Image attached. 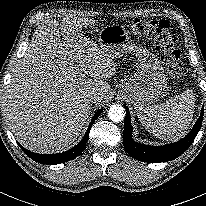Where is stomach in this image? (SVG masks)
<instances>
[{
  "label": "stomach",
  "mask_w": 206,
  "mask_h": 206,
  "mask_svg": "<svg viewBox=\"0 0 206 206\" xmlns=\"http://www.w3.org/2000/svg\"><path fill=\"white\" fill-rule=\"evenodd\" d=\"M98 41L114 58L126 52H132L137 58L136 73L121 87L120 95L134 106L137 113L155 103L167 85L159 59L146 47L132 42L126 28L119 24L102 28Z\"/></svg>",
  "instance_id": "stomach-1"
}]
</instances>
